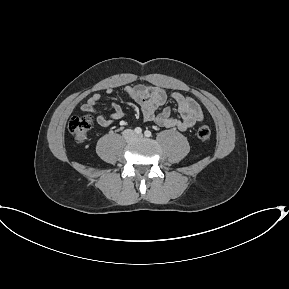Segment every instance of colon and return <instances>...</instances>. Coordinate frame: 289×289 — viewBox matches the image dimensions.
Returning a JSON list of instances; mask_svg holds the SVG:
<instances>
[{"label": "colon", "mask_w": 289, "mask_h": 289, "mask_svg": "<svg viewBox=\"0 0 289 289\" xmlns=\"http://www.w3.org/2000/svg\"><path fill=\"white\" fill-rule=\"evenodd\" d=\"M93 124V117L89 113L73 116L68 123V130L77 142H84ZM197 137L201 141H208L211 130L207 124H201L197 129Z\"/></svg>", "instance_id": "obj_1"}]
</instances>
